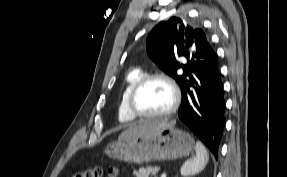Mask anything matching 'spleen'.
Listing matches in <instances>:
<instances>
[{
	"mask_svg": "<svg viewBox=\"0 0 287 177\" xmlns=\"http://www.w3.org/2000/svg\"><path fill=\"white\" fill-rule=\"evenodd\" d=\"M195 149L196 157L187 160L181 167V175L184 177L192 176L201 172L208 163V152L200 141H197Z\"/></svg>",
	"mask_w": 287,
	"mask_h": 177,
	"instance_id": "3e777b00",
	"label": "spleen"
}]
</instances>
